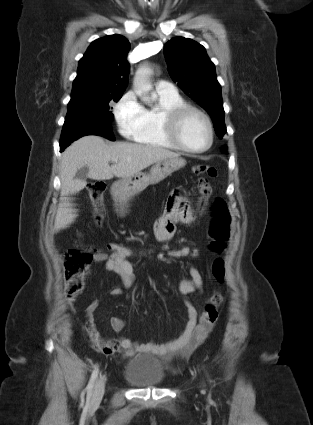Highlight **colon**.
Masks as SVG:
<instances>
[{
    "instance_id": "5ec220e1",
    "label": "colon",
    "mask_w": 313,
    "mask_h": 425,
    "mask_svg": "<svg viewBox=\"0 0 313 425\" xmlns=\"http://www.w3.org/2000/svg\"><path fill=\"white\" fill-rule=\"evenodd\" d=\"M193 173L198 176L197 188L202 199L208 198L212 193L209 181L203 175L209 178H216L217 171L214 167L205 164H199L193 167ZM89 198L95 206V221L99 223L102 219V198L105 191L103 182H93L87 187ZM212 222L210 226L211 243L209 250L219 254L226 250L227 241L231 234V215L227 203L222 198H217L212 204ZM199 255L198 251L193 253ZM93 255L89 252L79 249H70L64 255V270L66 276V293L68 297H77L84 288V281L90 271ZM212 277L216 281H223L225 278V262L223 259H215L211 267ZM211 303L215 309H218L222 296L219 292H214L210 296Z\"/></svg>"
}]
</instances>
